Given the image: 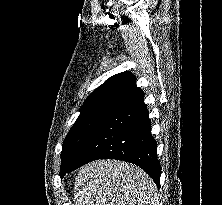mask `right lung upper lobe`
<instances>
[{"instance_id":"obj_1","label":"right lung upper lobe","mask_w":222,"mask_h":205,"mask_svg":"<svg viewBox=\"0 0 222 205\" xmlns=\"http://www.w3.org/2000/svg\"><path fill=\"white\" fill-rule=\"evenodd\" d=\"M140 90L130 72H122L107 79L85 100L80 114L110 111L123 100Z\"/></svg>"}]
</instances>
